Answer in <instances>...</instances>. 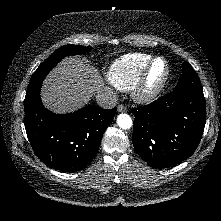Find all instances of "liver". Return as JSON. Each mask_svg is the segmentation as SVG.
<instances>
[{"instance_id": "6515ba94", "label": "liver", "mask_w": 221, "mask_h": 221, "mask_svg": "<svg viewBox=\"0 0 221 221\" xmlns=\"http://www.w3.org/2000/svg\"><path fill=\"white\" fill-rule=\"evenodd\" d=\"M103 86L99 71L85 58L66 57L45 79L42 101L55 113H67L86 105Z\"/></svg>"}]
</instances>
